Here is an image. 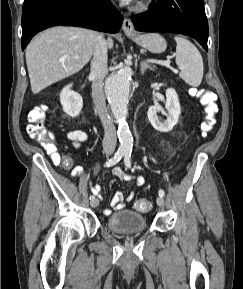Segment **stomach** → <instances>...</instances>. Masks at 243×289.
<instances>
[{"label":"stomach","mask_w":243,"mask_h":289,"mask_svg":"<svg viewBox=\"0 0 243 289\" xmlns=\"http://www.w3.org/2000/svg\"><path fill=\"white\" fill-rule=\"evenodd\" d=\"M139 46L152 53H162L167 47L165 39L158 33L128 35Z\"/></svg>","instance_id":"obj_1"}]
</instances>
